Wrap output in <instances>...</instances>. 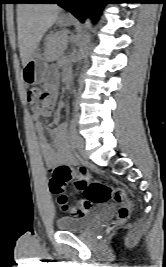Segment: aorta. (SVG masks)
Masks as SVG:
<instances>
[{
	"instance_id": "762f6f07",
	"label": "aorta",
	"mask_w": 166,
	"mask_h": 267,
	"mask_svg": "<svg viewBox=\"0 0 166 267\" xmlns=\"http://www.w3.org/2000/svg\"><path fill=\"white\" fill-rule=\"evenodd\" d=\"M84 29H85V32H86V35L83 37L81 43H80V47H79V52L77 54V62L80 63L81 61V58H82V54H83V51H84V47L86 45V42L89 38V35H88V32L91 30V21L90 19H87L84 23Z\"/></svg>"
}]
</instances>
